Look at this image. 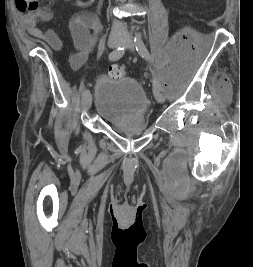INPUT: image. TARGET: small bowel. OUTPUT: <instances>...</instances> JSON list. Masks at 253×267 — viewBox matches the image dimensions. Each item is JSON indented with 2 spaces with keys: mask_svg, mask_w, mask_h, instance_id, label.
I'll return each instance as SVG.
<instances>
[{
  "mask_svg": "<svg viewBox=\"0 0 253 267\" xmlns=\"http://www.w3.org/2000/svg\"><path fill=\"white\" fill-rule=\"evenodd\" d=\"M71 1V0H66ZM95 0H75L78 7L91 5ZM53 14L50 9L42 8L36 12L25 14L22 25L26 31L36 39L48 44L53 50L60 51L62 41L52 28L43 29L41 22H48ZM69 29L72 35L76 53L71 56L70 63L73 68H80L99 44L103 32V24L99 16L93 12L80 11L69 19Z\"/></svg>",
  "mask_w": 253,
  "mask_h": 267,
  "instance_id": "1",
  "label": "small bowel"
}]
</instances>
